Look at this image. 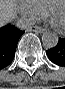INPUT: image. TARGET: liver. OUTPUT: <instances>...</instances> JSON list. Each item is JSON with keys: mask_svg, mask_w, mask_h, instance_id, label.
Instances as JSON below:
<instances>
[{"mask_svg": "<svg viewBox=\"0 0 65 89\" xmlns=\"http://www.w3.org/2000/svg\"><path fill=\"white\" fill-rule=\"evenodd\" d=\"M15 17L14 2L11 0H0V22L5 24Z\"/></svg>", "mask_w": 65, "mask_h": 89, "instance_id": "1", "label": "liver"}]
</instances>
